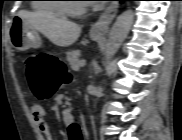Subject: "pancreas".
<instances>
[{
	"label": "pancreas",
	"instance_id": "pancreas-1",
	"mask_svg": "<svg viewBox=\"0 0 182 140\" xmlns=\"http://www.w3.org/2000/svg\"><path fill=\"white\" fill-rule=\"evenodd\" d=\"M79 56H80V51L79 50H75V51H70L67 53V60L71 66L72 69L74 70H78L80 68V60H79Z\"/></svg>",
	"mask_w": 182,
	"mask_h": 140
}]
</instances>
